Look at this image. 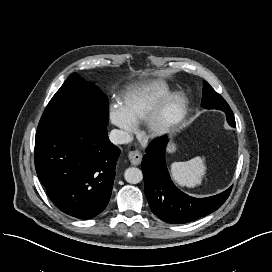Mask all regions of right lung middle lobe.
<instances>
[{
	"label": "right lung middle lobe",
	"mask_w": 272,
	"mask_h": 272,
	"mask_svg": "<svg viewBox=\"0 0 272 272\" xmlns=\"http://www.w3.org/2000/svg\"><path fill=\"white\" fill-rule=\"evenodd\" d=\"M108 98L93 83L71 74L47 105L37 130L62 128L74 121L107 126Z\"/></svg>",
	"instance_id": "1"
}]
</instances>
